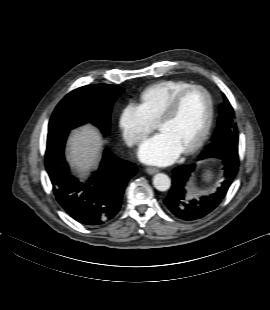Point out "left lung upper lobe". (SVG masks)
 <instances>
[{
  "label": "left lung upper lobe",
  "instance_id": "1",
  "mask_svg": "<svg viewBox=\"0 0 270 310\" xmlns=\"http://www.w3.org/2000/svg\"><path fill=\"white\" fill-rule=\"evenodd\" d=\"M238 155V135L237 127L234 122V111L227 98L224 96V103L220 109V116L216 131L207 150L201 159L226 157Z\"/></svg>",
  "mask_w": 270,
  "mask_h": 310
}]
</instances>
